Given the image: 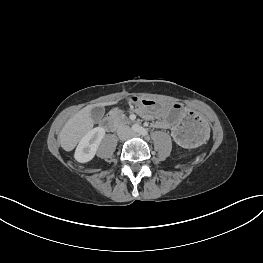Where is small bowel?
Returning <instances> with one entry per match:
<instances>
[{"instance_id": "c3829d8e", "label": "small bowel", "mask_w": 263, "mask_h": 263, "mask_svg": "<svg viewBox=\"0 0 263 263\" xmlns=\"http://www.w3.org/2000/svg\"><path fill=\"white\" fill-rule=\"evenodd\" d=\"M137 113H138L139 116H141L142 118H144V119H146V120H151V119L154 118L153 113H149V112L145 111L144 108L138 109V110H137ZM155 127H156V128H159V129H167V130H170V131H171V134H172V137L174 138V131H173L171 128L167 127L166 125H163L159 120L155 123ZM174 140H175L178 144H180L175 138H174ZM180 145H181V144H180Z\"/></svg>"}]
</instances>
